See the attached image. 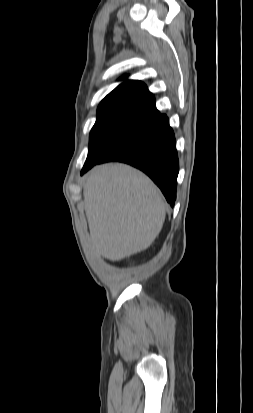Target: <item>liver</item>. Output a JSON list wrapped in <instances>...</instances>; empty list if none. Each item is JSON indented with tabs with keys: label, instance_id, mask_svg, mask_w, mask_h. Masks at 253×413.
<instances>
[{
	"label": "liver",
	"instance_id": "6515ba94",
	"mask_svg": "<svg viewBox=\"0 0 253 413\" xmlns=\"http://www.w3.org/2000/svg\"><path fill=\"white\" fill-rule=\"evenodd\" d=\"M83 195L96 256L119 261L146 250L163 227L166 204L160 190L129 165L95 167Z\"/></svg>",
	"mask_w": 253,
	"mask_h": 413
}]
</instances>
